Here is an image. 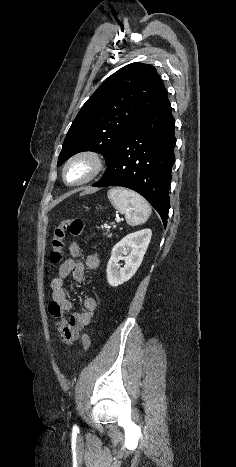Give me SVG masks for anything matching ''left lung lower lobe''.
Segmentation results:
<instances>
[{"label": "left lung lower lobe", "mask_w": 236, "mask_h": 467, "mask_svg": "<svg viewBox=\"0 0 236 467\" xmlns=\"http://www.w3.org/2000/svg\"><path fill=\"white\" fill-rule=\"evenodd\" d=\"M175 120L167 95L121 140L103 177L92 186H122L141 194L167 224L174 163Z\"/></svg>", "instance_id": "1"}]
</instances>
